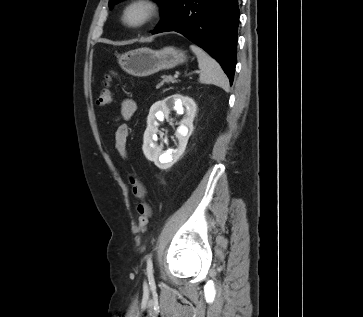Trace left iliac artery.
<instances>
[{
    "instance_id": "44dca946",
    "label": "left iliac artery",
    "mask_w": 363,
    "mask_h": 317,
    "mask_svg": "<svg viewBox=\"0 0 363 317\" xmlns=\"http://www.w3.org/2000/svg\"><path fill=\"white\" fill-rule=\"evenodd\" d=\"M147 274L149 278L153 279V263L151 254L147 256Z\"/></svg>"
}]
</instances>
